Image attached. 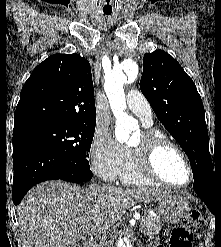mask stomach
I'll return each mask as SVG.
<instances>
[{
    "label": "stomach",
    "instance_id": "0dacf381",
    "mask_svg": "<svg viewBox=\"0 0 221 247\" xmlns=\"http://www.w3.org/2000/svg\"><path fill=\"white\" fill-rule=\"evenodd\" d=\"M190 206L186 199L179 195H168L157 201V213L167 223L175 224L180 222Z\"/></svg>",
    "mask_w": 221,
    "mask_h": 247
}]
</instances>
